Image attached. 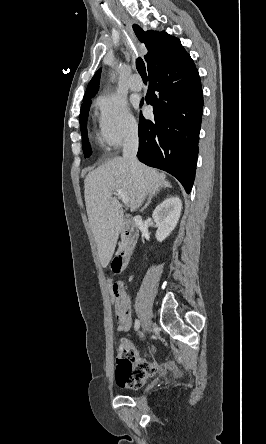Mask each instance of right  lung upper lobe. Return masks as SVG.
<instances>
[{
    "mask_svg": "<svg viewBox=\"0 0 266 444\" xmlns=\"http://www.w3.org/2000/svg\"><path fill=\"white\" fill-rule=\"evenodd\" d=\"M135 34L141 42L145 43L148 53L144 56L147 62L148 73L181 60L188 53L181 42L167 33L147 31L144 32L138 25L133 26ZM101 69H99L89 82L83 102L90 101L98 91Z\"/></svg>",
    "mask_w": 266,
    "mask_h": 444,
    "instance_id": "1",
    "label": "right lung upper lobe"
}]
</instances>
